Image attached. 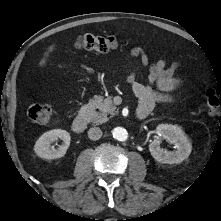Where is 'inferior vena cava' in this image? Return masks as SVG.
<instances>
[{
    "label": "inferior vena cava",
    "mask_w": 221,
    "mask_h": 221,
    "mask_svg": "<svg viewBox=\"0 0 221 221\" xmlns=\"http://www.w3.org/2000/svg\"><path fill=\"white\" fill-rule=\"evenodd\" d=\"M88 137L91 140H99L102 137V130L99 127H92L88 131Z\"/></svg>",
    "instance_id": "inferior-vena-cava-1"
}]
</instances>
